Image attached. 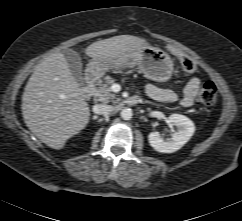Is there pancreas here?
Returning <instances> with one entry per match:
<instances>
[{"label":"pancreas","instance_id":"1","mask_svg":"<svg viewBox=\"0 0 242 221\" xmlns=\"http://www.w3.org/2000/svg\"><path fill=\"white\" fill-rule=\"evenodd\" d=\"M115 82L110 76L104 77L103 80H99L97 84L92 88V95L94 96L95 102L102 103H117L120 101V98L112 92L111 85Z\"/></svg>","mask_w":242,"mask_h":221}]
</instances>
